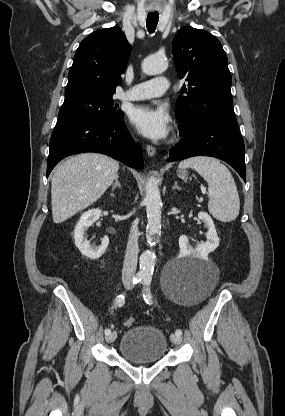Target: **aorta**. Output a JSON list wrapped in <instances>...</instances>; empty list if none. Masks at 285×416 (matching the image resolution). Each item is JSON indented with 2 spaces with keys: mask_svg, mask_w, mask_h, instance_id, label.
I'll list each match as a JSON object with an SVG mask.
<instances>
[{
  "mask_svg": "<svg viewBox=\"0 0 285 416\" xmlns=\"http://www.w3.org/2000/svg\"><path fill=\"white\" fill-rule=\"evenodd\" d=\"M168 67V62L166 58L151 55L144 59L142 62V71L146 75H157L164 72ZM144 203L147 211V231L146 238L148 243L151 245L158 239L161 233V196L156 179L152 176L148 179L146 184V195L144 198ZM155 254L154 252L147 250L143 252L140 256L139 264L140 271L139 273L143 276L151 277L154 272L155 266Z\"/></svg>",
  "mask_w": 285,
  "mask_h": 416,
  "instance_id": "762f6f07",
  "label": "aorta"
}]
</instances>
